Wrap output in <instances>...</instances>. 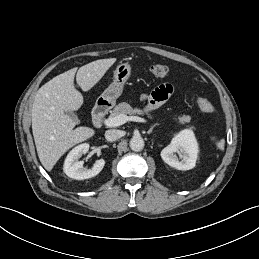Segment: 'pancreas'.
Wrapping results in <instances>:
<instances>
[{
	"mask_svg": "<svg viewBox=\"0 0 259 259\" xmlns=\"http://www.w3.org/2000/svg\"><path fill=\"white\" fill-rule=\"evenodd\" d=\"M120 114L124 115H134V114H143L141 109L138 108H132L128 103L121 102L119 103L111 112L110 117H115ZM177 123L179 124H185L189 122V118L186 115H181L178 118H175ZM193 128V127H191Z\"/></svg>",
	"mask_w": 259,
	"mask_h": 259,
	"instance_id": "1",
	"label": "pancreas"
}]
</instances>
